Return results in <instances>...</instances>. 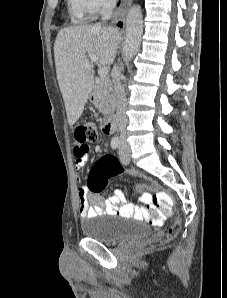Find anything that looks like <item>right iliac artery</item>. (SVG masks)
<instances>
[{
	"mask_svg": "<svg viewBox=\"0 0 227 298\" xmlns=\"http://www.w3.org/2000/svg\"><path fill=\"white\" fill-rule=\"evenodd\" d=\"M119 144H120V140H119L118 137L112 138V140H111V147H112V149H117L118 146H119Z\"/></svg>",
	"mask_w": 227,
	"mask_h": 298,
	"instance_id": "obj_1",
	"label": "right iliac artery"
}]
</instances>
